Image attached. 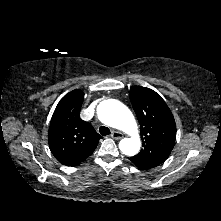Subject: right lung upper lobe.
<instances>
[{
    "label": "right lung upper lobe",
    "instance_id": "cb5924a9",
    "mask_svg": "<svg viewBox=\"0 0 221 221\" xmlns=\"http://www.w3.org/2000/svg\"><path fill=\"white\" fill-rule=\"evenodd\" d=\"M84 93L69 92L58 103L49 127V148L66 166H76L89 157L102 138L88 122L80 118Z\"/></svg>",
    "mask_w": 221,
    "mask_h": 221
}]
</instances>
